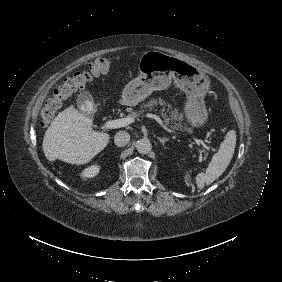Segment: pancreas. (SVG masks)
<instances>
[{
  "mask_svg": "<svg viewBox=\"0 0 282 282\" xmlns=\"http://www.w3.org/2000/svg\"><path fill=\"white\" fill-rule=\"evenodd\" d=\"M160 105L162 109L160 110L161 116L165 119V123L170 126L172 130L187 131L192 133V128H188L186 124L183 125L184 120L183 114L179 113L178 109H173L169 103H166L161 98L159 100L152 99L147 104L143 106V109L139 111L138 115L142 114L145 109H152L154 106ZM167 107V109H166ZM169 113V115H167Z\"/></svg>",
  "mask_w": 282,
  "mask_h": 282,
  "instance_id": "obj_1",
  "label": "pancreas"
}]
</instances>
